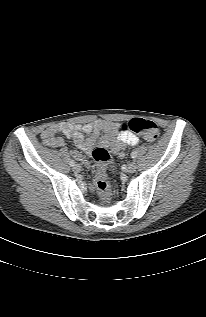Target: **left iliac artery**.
Returning a JSON list of instances; mask_svg holds the SVG:
<instances>
[{
	"instance_id": "obj_1",
	"label": "left iliac artery",
	"mask_w": 206,
	"mask_h": 317,
	"mask_svg": "<svg viewBox=\"0 0 206 317\" xmlns=\"http://www.w3.org/2000/svg\"><path fill=\"white\" fill-rule=\"evenodd\" d=\"M137 157V152L136 151H132L131 153V158H136Z\"/></svg>"
}]
</instances>
